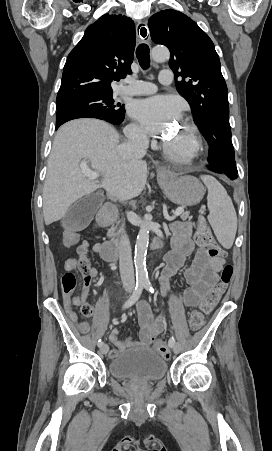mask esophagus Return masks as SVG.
Wrapping results in <instances>:
<instances>
[{"label":"esophagus","instance_id":"obj_1","mask_svg":"<svg viewBox=\"0 0 272 451\" xmlns=\"http://www.w3.org/2000/svg\"><path fill=\"white\" fill-rule=\"evenodd\" d=\"M137 27H138L139 37L143 40L149 39V33H148L147 29L144 27L143 22H139ZM158 170L164 175H166V173H167V167L165 165L158 164Z\"/></svg>","mask_w":272,"mask_h":451}]
</instances>
